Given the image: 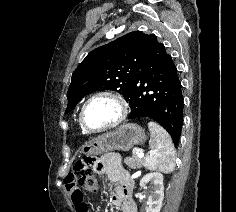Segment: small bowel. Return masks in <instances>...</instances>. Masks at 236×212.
Listing matches in <instances>:
<instances>
[{"label":"small bowel","mask_w":236,"mask_h":212,"mask_svg":"<svg viewBox=\"0 0 236 212\" xmlns=\"http://www.w3.org/2000/svg\"><path fill=\"white\" fill-rule=\"evenodd\" d=\"M99 172L106 175L118 187L110 196L111 204L119 212H137L135 202L131 197L133 182L129 173L122 166L119 159L111 154H105L99 161ZM76 175L70 174L66 180V189L76 212H88L83 193L76 187Z\"/></svg>","instance_id":"small-bowel-1"}]
</instances>
